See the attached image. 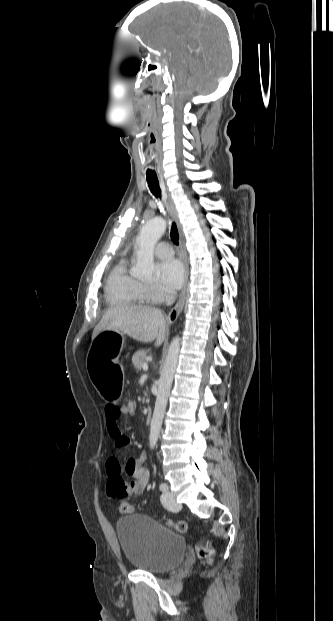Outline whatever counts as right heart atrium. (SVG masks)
<instances>
[{
	"label": "right heart atrium",
	"instance_id": "right-heart-atrium-1",
	"mask_svg": "<svg viewBox=\"0 0 333 621\" xmlns=\"http://www.w3.org/2000/svg\"><path fill=\"white\" fill-rule=\"evenodd\" d=\"M144 289L152 302H161L168 296L167 292L157 284L144 283Z\"/></svg>",
	"mask_w": 333,
	"mask_h": 621
}]
</instances>
